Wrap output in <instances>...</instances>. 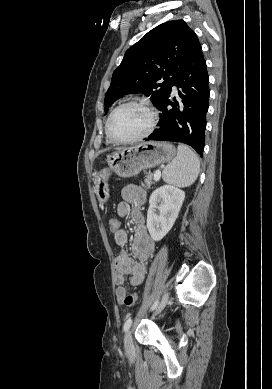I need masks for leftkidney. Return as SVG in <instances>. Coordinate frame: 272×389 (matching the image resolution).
Masks as SVG:
<instances>
[{
  "label": "left kidney",
  "mask_w": 272,
  "mask_h": 389,
  "mask_svg": "<svg viewBox=\"0 0 272 389\" xmlns=\"http://www.w3.org/2000/svg\"><path fill=\"white\" fill-rule=\"evenodd\" d=\"M184 198L185 192L173 185H163L152 192L147 212V228L154 241H160L171 230Z\"/></svg>",
  "instance_id": "1"
}]
</instances>
